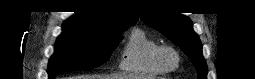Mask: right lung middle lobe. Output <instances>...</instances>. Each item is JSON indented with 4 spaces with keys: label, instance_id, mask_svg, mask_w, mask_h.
<instances>
[{
    "label": "right lung middle lobe",
    "instance_id": "dd1d6c3e",
    "mask_svg": "<svg viewBox=\"0 0 255 79\" xmlns=\"http://www.w3.org/2000/svg\"><path fill=\"white\" fill-rule=\"evenodd\" d=\"M127 28L112 35L63 30L49 60V78L71 69H90L102 65L109 59L122 37L121 33Z\"/></svg>",
    "mask_w": 255,
    "mask_h": 79
}]
</instances>
